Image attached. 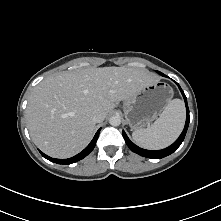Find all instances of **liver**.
<instances>
[{"mask_svg":"<svg viewBox=\"0 0 221 221\" xmlns=\"http://www.w3.org/2000/svg\"><path fill=\"white\" fill-rule=\"evenodd\" d=\"M157 81L145 69L125 67L87 68L47 77L28 99L26 118L32 140L51 157H72L90 142L95 114L106 117L117 102Z\"/></svg>","mask_w":221,"mask_h":221,"instance_id":"obj_1","label":"liver"}]
</instances>
